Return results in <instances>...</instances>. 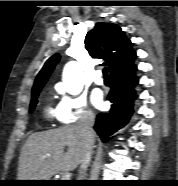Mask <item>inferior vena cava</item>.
I'll return each instance as SVG.
<instances>
[{
  "instance_id": "inferior-vena-cava-1",
  "label": "inferior vena cava",
  "mask_w": 178,
  "mask_h": 186,
  "mask_svg": "<svg viewBox=\"0 0 178 186\" xmlns=\"http://www.w3.org/2000/svg\"><path fill=\"white\" fill-rule=\"evenodd\" d=\"M95 121V116L91 112H86L80 122L78 123L81 134L86 140V152L81 161L80 170H79V179L85 176L88 166L91 162L92 148L94 146V131L93 125Z\"/></svg>"
}]
</instances>
